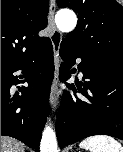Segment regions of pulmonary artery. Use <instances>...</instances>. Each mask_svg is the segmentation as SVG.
Masks as SVG:
<instances>
[{
  "mask_svg": "<svg viewBox=\"0 0 123 152\" xmlns=\"http://www.w3.org/2000/svg\"><path fill=\"white\" fill-rule=\"evenodd\" d=\"M80 76H83L82 72H80Z\"/></svg>",
  "mask_w": 123,
  "mask_h": 152,
  "instance_id": "1",
  "label": "pulmonary artery"
}]
</instances>
